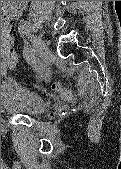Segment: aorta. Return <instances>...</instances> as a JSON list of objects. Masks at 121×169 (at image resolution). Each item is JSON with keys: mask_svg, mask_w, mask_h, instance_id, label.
<instances>
[{"mask_svg": "<svg viewBox=\"0 0 121 169\" xmlns=\"http://www.w3.org/2000/svg\"><path fill=\"white\" fill-rule=\"evenodd\" d=\"M1 3L2 10L17 15L26 8L28 1H1Z\"/></svg>", "mask_w": 121, "mask_h": 169, "instance_id": "762f6f07", "label": "aorta"}]
</instances>
